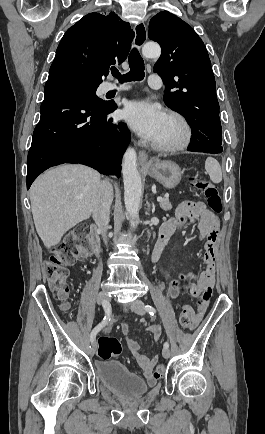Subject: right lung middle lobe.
<instances>
[{
    "instance_id": "dd1d6c3e",
    "label": "right lung middle lobe",
    "mask_w": 265,
    "mask_h": 434,
    "mask_svg": "<svg viewBox=\"0 0 265 434\" xmlns=\"http://www.w3.org/2000/svg\"><path fill=\"white\" fill-rule=\"evenodd\" d=\"M48 79H64L73 82H81L87 88L88 94L92 102H94L98 106L105 103L102 99L98 98L95 94L97 87L101 83L99 81L93 80L91 78L83 77V76H75V75H67V74L49 76Z\"/></svg>"
}]
</instances>
